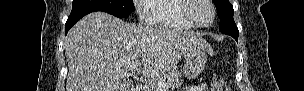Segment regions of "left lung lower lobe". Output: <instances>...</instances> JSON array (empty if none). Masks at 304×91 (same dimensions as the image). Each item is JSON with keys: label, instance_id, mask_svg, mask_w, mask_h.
<instances>
[{"label": "left lung lower lobe", "instance_id": "0a47b994", "mask_svg": "<svg viewBox=\"0 0 304 91\" xmlns=\"http://www.w3.org/2000/svg\"><path fill=\"white\" fill-rule=\"evenodd\" d=\"M228 35L232 36L238 42V35L239 34H228Z\"/></svg>", "mask_w": 304, "mask_h": 91}]
</instances>
